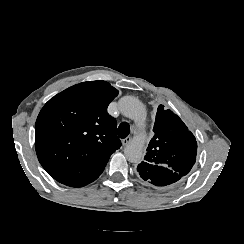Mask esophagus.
Segmentation results:
<instances>
[{
	"mask_svg": "<svg viewBox=\"0 0 244 244\" xmlns=\"http://www.w3.org/2000/svg\"><path fill=\"white\" fill-rule=\"evenodd\" d=\"M131 140L132 138L130 136L126 137L125 139L122 140V145L127 146L131 142Z\"/></svg>",
	"mask_w": 244,
	"mask_h": 244,
	"instance_id": "1",
	"label": "esophagus"
}]
</instances>
